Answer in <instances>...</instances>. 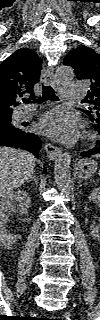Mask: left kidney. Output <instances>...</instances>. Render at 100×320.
Returning <instances> with one entry per match:
<instances>
[{"instance_id":"obj_1","label":"left kidney","mask_w":100,"mask_h":320,"mask_svg":"<svg viewBox=\"0 0 100 320\" xmlns=\"http://www.w3.org/2000/svg\"><path fill=\"white\" fill-rule=\"evenodd\" d=\"M89 199L91 201H97L100 199V190L98 188H95L92 193L89 195ZM91 235L94 239L100 238V229L96 225L91 226Z\"/></svg>"}]
</instances>
